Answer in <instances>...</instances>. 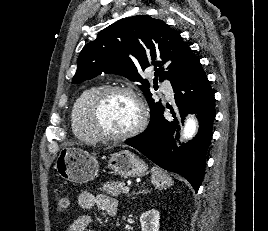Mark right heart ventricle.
Returning <instances> with one entry per match:
<instances>
[{
	"mask_svg": "<svg viewBox=\"0 0 268 231\" xmlns=\"http://www.w3.org/2000/svg\"><path fill=\"white\" fill-rule=\"evenodd\" d=\"M99 89L97 84L87 87L74 101L70 109V121L73 133L82 141L93 143L98 139L91 132L85 118L89 98Z\"/></svg>",
	"mask_w": 268,
	"mask_h": 231,
	"instance_id": "right-heart-ventricle-1",
	"label": "right heart ventricle"
}]
</instances>
